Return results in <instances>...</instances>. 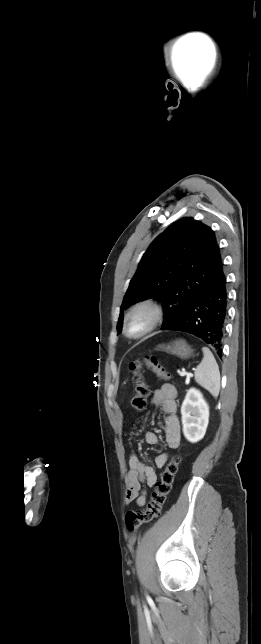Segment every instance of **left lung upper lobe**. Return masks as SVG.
I'll return each instance as SVG.
<instances>
[{
  "label": "left lung upper lobe",
  "instance_id": "left-lung-upper-lobe-1",
  "mask_svg": "<svg viewBox=\"0 0 261 644\" xmlns=\"http://www.w3.org/2000/svg\"><path fill=\"white\" fill-rule=\"evenodd\" d=\"M222 262L214 232L192 218H183L160 234L143 255L121 306L148 298L164 306L162 329L173 323L202 290Z\"/></svg>",
  "mask_w": 261,
  "mask_h": 644
}]
</instances>
